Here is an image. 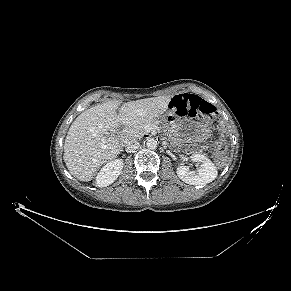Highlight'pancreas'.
Wrapping results in <instances>:
<instances>
[{
    "mask_svg": "<svg viewBox=\"0 0 291 291\" xmlns=\"http://www.w3.org/2000/svg\"><path fill=\"white\" fill-rule=\"evenodd\" d=\"M151 125V126H158L159 121L154 119V120H149V121H143L140 123H135L132 126H129L126 129V137L129 139L133 138H141L144 134H146V126Z\"/></svg>",
    "mask_w": 291,
    "mask_h": 291,
    "instance_id": "pancreas-1",
    "label": "pancreas"
}]
</instances>
